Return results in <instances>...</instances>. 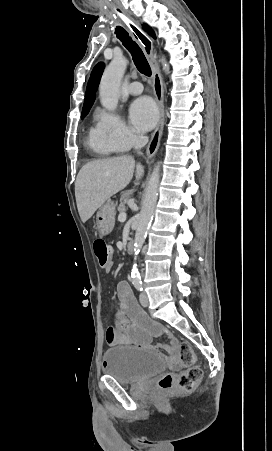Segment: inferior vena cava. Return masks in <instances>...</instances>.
<instances>
[{"label": "inferior vena cava", "instance_id": "obj_1", "mask_svg": "<svg viewBox=\"0 0 272 451\" xmlns=\"http://www.w3.org/2000/svg\"><path fill=\"white\" fill-rule=\"evenodd\" d=\"M147 142V136H136V138H134V150H140V148H143Z\"/></svg>", "mask_w": 272, "mask_h": 451}]
</instances>
